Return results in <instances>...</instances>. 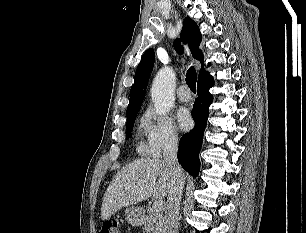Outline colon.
<instances>
[{
  "mask_svg": "<svg viewBox=\"0 0 306 233\" xmlns=\"http://www.w3.org/2000/svg\"><path fill=\"white\" fill-rule=\"evenodd\" d=\"M99 233H119L118 223L115 221H107L105 222Z\"/></svg>",
  "mask_w": 306,
  "mask_h": 233,
  "instance_id": "1",
  "label": "colon"
}]
</instances>
